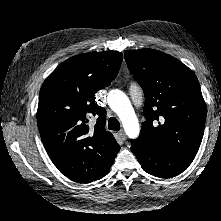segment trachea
<instances>
[{
    "label": "trachea",
    "instance_id": "obj_1",
    "mask_svg": "<svg viewBox=\"0 0 221 221\" xmlns=\"http://www.w3.org/2000/svg\"><path fill=\"white\" fill-rule=\"evenodd\" d=\"M108 128L110 130L119 131L120 130V122L115 117H111L108 121Z\"/></svg>",
    "mask_w": 221,
    "mask_h": 221
}]
</instances>
